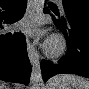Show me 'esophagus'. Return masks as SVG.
I'll return each instance as SVG.
<instances>
[{"mask_svg":"<svg viewBox=\"0 0 89 89\" xmlns=\"http://www.w3.org/2000/svg\"><path fill=\"white\" fill-rule=\"evenodd\" d=\"M32 4H33L32 1H28V8H27L28 14L31 12ZM27 52H28V56H29V60H30L31 64L33 66L37 65L38 56L35 52V49H34L32 43H31L30 39L27 40Z\"/></svg>","mask_w":89,"mask_h":89,"instance_id":"34e87169","label":"esophagus"}]
</instances>
